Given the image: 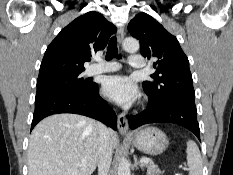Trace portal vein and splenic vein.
<instances>
[{
    "label": "portal vein and splenic vein",
    "mask_w": 233,
    "mask_h": 175,
    "mask_svg": "<svg viewBox=\"0 0 233 175\" xmlns=\"http://www.w3.org/2000/svg\"><path fill=\"white\" fill-rule=\"evenodd\" d=\"M140 162H141V163H149V162H151V160H150L149 158L142 157V158L140 159Z\"/></svg>",
    "instance_id": "1"
}]
</instances>
